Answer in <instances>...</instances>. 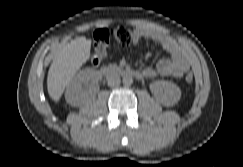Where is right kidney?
<instances>
[{"mask_svg": "<svg viewBox=\"0 0 243 167\" xmlns=\"http://www.w3.org/2000/svg\"><path fill=\"white\" fill-rule=\"evenodd\" d=\"M100 72L94 69L80 71L67 85L65 99L71 106L77 107L86 103L98 90Z\"/></svg>", "mask_w": 243, "mask_h": 167, "instance_id": "ca27d5eb", "label": "right kidney"}]
</instances>
